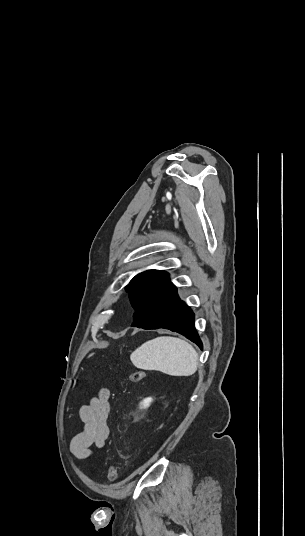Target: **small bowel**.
Listing matches in <instances>:
<instances>
[{
    "mask_svg": "<svg viewBox=\"0 0 305 536\" xmlns=\"http://www.w3.org/2000/svg\"><path fill=\"white\" fill-rule=\"evenodd\" d=\"M108 398L109 391L103 389L89 404L80 408L79 415L83 422V430L73 438L71 443V450L76 457L87 458L91 455L92 447L101 448L105 445L110 433Z\"/></svg>",
    "mask_w": 305,
    "mask_h": 536,
    "instance_id": "small-bowel-1",
    "label": "small bowel"
}]
</instances>
